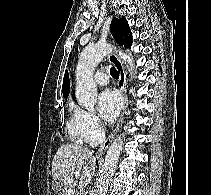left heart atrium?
Listing matches in <instances>:
<instances>
[{"mask_svg":"<svg viewBox=\"0 0 211 195\" xmlns=\"http://www.w3.org/2000/svg\"><path fill=\"white\" fill-rule=\"evenodd\" d=\"M98 106L102 119L111 123L119 114L121 108L120 96L114 90H105L99 95Z\"/></svg>","mask_w":211,"mask_h":195,"instance_id":"left-heart-atrium-1","label":"left heart atrium"}]
</instances>
